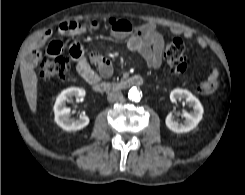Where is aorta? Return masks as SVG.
<instances>
[{
	"label": "aorta",
	"instance_id": "aorta-1",
	"mask_svg": "<svg viewBox=\"0 0 245 195\" xmlns=\"http://www.w3.org/2000/svg\"><path fill=\"white\" fill-rule=\"evenodd\" d=\"M128 98L131 100V101H134V102H139L141 97H140V92L138 91V89L136 87H132L130 90H129V93H128Z\"/></svg>",
	"mask_w": 245,
	"mask_h": 195
}]
</instances>
